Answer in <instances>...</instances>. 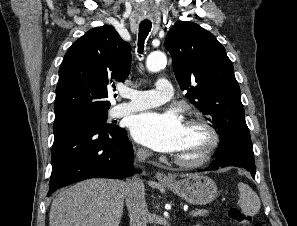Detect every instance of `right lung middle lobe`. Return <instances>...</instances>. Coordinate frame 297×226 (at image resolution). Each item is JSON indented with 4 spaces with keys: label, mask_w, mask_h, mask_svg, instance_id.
<instances>
[{
    "label": "right lung middle lobe",
    "mask_w": 297,
    "mask_h": 226,
    "mask_svg": "<svg viewBox=\"0 0 297 226\" xmlns=\"http://www.w3.org/2000/svg\"><path fill=\"white\" fill-rule=\"evenodd\" d=\"M75 115H80L86 118L89 122L94 123L96 126L101 127L106 130H115L119 127L114 124H107V110H90L77 113ZM73 116V115H72Z\"/></svg>",
    "instance_id": "1"
}]
</instances>
